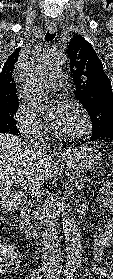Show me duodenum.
<instances>
[{
  "label": "duodenum",
  "mask_w": 113,
  "mask_h": 279,
  "mask_svg": "<svg viewBox=\"0 0 113 279\" xmlns=\"http://www.w3.org/2000/svg\"><path fill=\"white\" fill-rule=\"evenodd\" d=\"M78 211L80 213H83L85 211V206L80 205L78 208ZM19 216H20V225H21V229H22L23 233L27 237L33 238L36 233V228L33 225L32 220H31L30 209L27 206H22L20 208Z\"/></svg>",
  "instance_id": "duodenum-1"
}]
</instances>
